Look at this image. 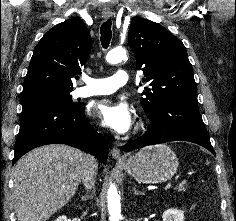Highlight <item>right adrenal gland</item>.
<instances>
[{
	"label": "right adrenal gland",
	"mask_w": 236,
	"mask_h": 221,
	"mask_svg": "<svg viewBox=\"0 0 236 221\" xmlns=\"http://www.w3.org/2000/svg\"><path fill=\"white\" fill-rule=\"evenodd\" d=\"M93 192H94V187H93L92 193L82 196V197H81V200H82V201H86V200H88L89 198H92Z\"/></svg>",
	"instance_id": "obj_1"
}]
</instances>
